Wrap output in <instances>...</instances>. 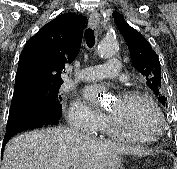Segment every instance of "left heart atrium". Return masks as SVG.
<instances>
[{"label":"left heart atrium","instance_id":"1","mask_svg":"<svg viewBox=\"0 0 177 169\" xmlns=\"http://www.w3.org/2000/svg\"><path fill=\"white\" fill-rule=\"evenodd\" d=\"M105 91V88L101 86H89L83 91L84 98L92 104H97L99 95Z\"/></svg>","mask_w":177,"mask_h":169}]
</instances>
